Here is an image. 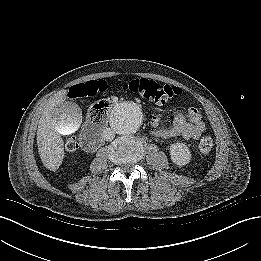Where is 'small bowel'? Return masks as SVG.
I'll return each instance as SVG.
<instances>
[{
  "instance_id": "small-bowel-1",
  "label": "small bowel",
  "mask_w": 261,
  "mask_h": 261,
  "mask_svg": "<svg viewBox=\"0 0 261 261\" xmlns=\"http://www.w3.org/2000/svg\"><path fill=\"white\" fill-rule=\"evenodd\" d=\"M71 98H76L70 95ZM160 118L153 117L151 125L152 135L161 139H173L183 137L188 140H198L206 129V124L200 111L195 107H190L186 111H179L170 127L161 128Z\"/></svg>"
}]
</instances>
